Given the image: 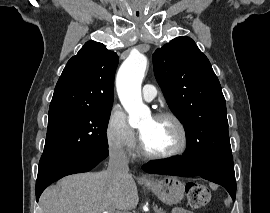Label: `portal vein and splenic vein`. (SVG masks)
I'll return each instance as SVG.
<instances>
[{"label": "portal vein and splenic vein", "instance_id": "1", "mask_svg": "<svg viewBox=\"0 0 270 213\" xmlns=\"http://www.w3.org/2000/svg\"><path fill=\"white\" fill-rule=\"evenodd\" d=\"M103 213H123V212H120V211H104Z\"/></svg>", "mask_w": 270, "mask_h": 213}]
</instances>
